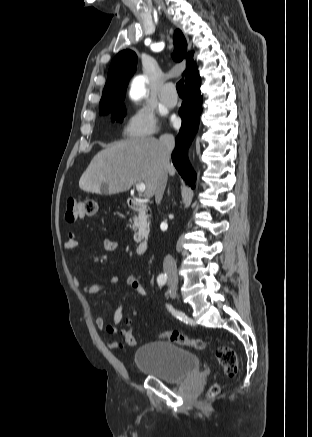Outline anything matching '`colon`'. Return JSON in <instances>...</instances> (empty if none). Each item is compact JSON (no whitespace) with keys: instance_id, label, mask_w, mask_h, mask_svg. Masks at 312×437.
<instances>
[{"instance_id":"obj_1","label":"colon","mask_w":312,"mask_h":437,"mask_svg":"<svg viewBox=\"0 0 312 437\" xmlns=\"http://www.w3.org/2000/svg\"><path fill=\"white\" fill-rule=\"evenodd\" d=\"M99 210L98 203L93 199H75L70 198L67 201L66 208V220L69 223H73L78 220H83L94 216ZM126 330L123 333L124 344L127 346L135 347L138 345V340L132 332V319L127 318L125 320ZM160 338L169 340L173 343L190 346L196 350H202L205 348V342L201 339L190 338L185 334L176 331L169 330L160 333ZM216 360L223 367V370L227 376H235L238 372V360L235 351L228 346H219L215 351ZM219 386L215 385L210 390V395L214 396L218 394Z\"/></svg>"}]
</instances>
